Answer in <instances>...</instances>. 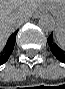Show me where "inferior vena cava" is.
Wrapping results in <instances>:
<instances>
[{"instance_id": "1", "label": "inferior vena cava", "mask_w": 65, "mask_h": 89, "mask_svg": "<svg viewBox=\"0 0 65 89\" xmlns=\"http://www.w3.org/2000/svg\"><path fill=\"white\" fill-rule=\"evenodd\" d=\"M26 20H27V19H21V20L17 21V22L15 23V27H16L17 25H19V24L24 23Z\"/></svg>"}]
</instances>
